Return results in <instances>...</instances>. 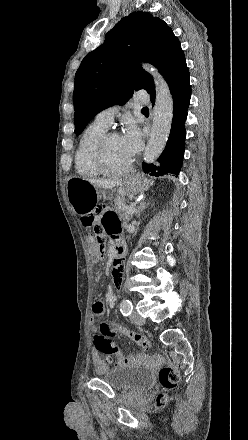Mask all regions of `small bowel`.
Returning a JSON list of instances; mask_svg holds the SVG:
<instances>
[{
	"label": "small bowel",
	"instance_id": "small-bowel-1",
	"mask_svg": "<svg viewBox=\"0 0 248 440\" xmlns=\"http://www.w3.org/2000/svg\"><path fill=\"white\" fill-rule=\"evenodd\" d=\"M102 223L105 231L108 232L114 239L119 240L121 235V223L117 214L113 211L107 210L103 213ZM115 263L113 264L112 277L116 287H119L123 281V265L124 258L116 257ZM115 301V293L112 288L107 291V303L112 306ZM105 312V305L101 301H97L92 306V329L94 333H97L95 327V322L97 319L102 317ZM153 360V357L148 354L132 355L128 359H124L123 362H134V363H147ZM112 362V359H102L98 352L93 355V363L97 372H101L108 368V365Z\"/></svg>",
	"mask_w": 248,
	"mask_h": 440
}]
</instances>
